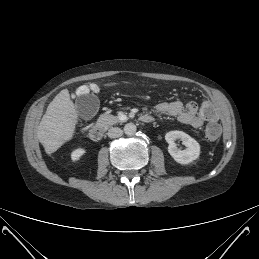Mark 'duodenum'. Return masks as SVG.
<instances>
[{"label": "duodenum", "mask_w": 259, "mask_h": 259, "mask_svg": "<svg viewBox=\"0 0 259 259\" xmlns=\"http://www.w3.org/2000/svg\"><path fill=\"white\" fill-rule=\"evenodd\" d=\"M140 121L143 123H151L153 121V117L149 114H144L140 116ZM104 134L105 130L100 125L93 126L89 131V137L93 141H100Z\"/></svg>", "instance_id": "obj_1"}]
</instances>
